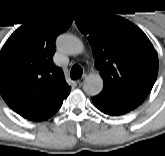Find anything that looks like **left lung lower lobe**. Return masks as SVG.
I'll return each instance as SVG.
<instances>
[{
  "mask_svg": "<svg viewBox=\"0 0 165 156\" xmlns=\"http://www.w3.org/2000/svg\"><path fill=\"white\" fill-rule=\"evenodd\" d=\"M93 104L103 113L111 115V116H119L130 112L119 104L111 101L110 99L106 98L105 96L99 94L92 98Z\"/></svg>",
  "mask_w": 165,
  "mask_h": 156,
  "instance_id": "obj_1",
  "label": "left lung lower lobe"
}]
</instances>
